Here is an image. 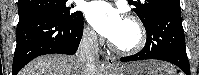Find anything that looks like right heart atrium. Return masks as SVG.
I'll list each match as a JSON object with an SVG mask.
<instances>
[{"label":"right heart atrium","instance_id":"obj_1","mask_svg":"<svg viewBox=\"0 0 199 75\" xmlns=\"http://www.w3.org/2000/svg\"><path fill=\"white\" fill-rule=\"evenodd\" d=\"M83 35H84V39L87 42L89 43L97 42V34L91 26L85 25Z\"/></svg>","mask_w":199,"mask_h":75}]
</instances>
